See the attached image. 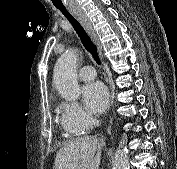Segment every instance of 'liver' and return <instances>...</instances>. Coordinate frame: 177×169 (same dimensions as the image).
<instances>
[{
	"instance_id": "1",
	"label": "liver",
	"mask_w": 177,
	"mask_h": 169,
	"mask_svg": "<svg viewBox=\"0 0 177 169\" xmlns=\"http://www.w3.org/2000/svg\"><path fill=\"white\" fill-rule=\"evenodd\" d=\"M104 145L93 136L70 141L58 151L53 169H99Z\"/></svg>"
}]
</instances>
